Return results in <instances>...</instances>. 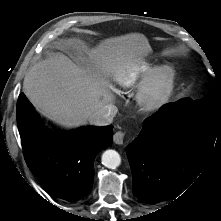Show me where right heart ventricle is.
Masks as SVG:
<instances>
[{
    "label": "right heart ventricle",
    "instance_id": "e07e8e85",
    "mask_svg": "<svg viewBox=\"0 0 221 221\" xmlns=\"http://www.w3.org/2000/svg\"><path fill=\"white\" fill-rule=\"evenodd\" d=\"M152 68L147 65L130 66L118 72L114 79L119 88L127 89L136 85L139 80L151 72Z\"/></svg>",
    "mask_w": 221,
    "mask_h": 221
}]
</instances>
